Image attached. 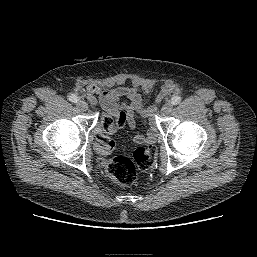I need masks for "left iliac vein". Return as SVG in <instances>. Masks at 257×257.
Instances as JSON below:
<instances>
[{"instance_id":"4c4485c4","label":"left iliac vein","mask_w":257,"mask_h":257,"mask_svg":"<svg viewBox=\"0 0 257 257\" xmlns=\"http://www.w3.org/2000/svg\"><path fill=\"white\" fill-rule=\"evenodd\" d=\"M172 108H173L172 103H166V104L162 107V109H161V114H162L163 116H166V115L170 114V112L172 111Z\"/></svg>"}]
</instances>
